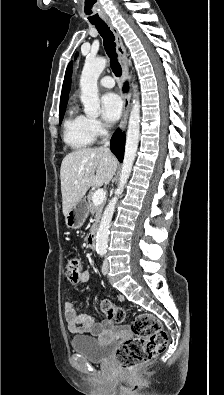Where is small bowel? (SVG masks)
<instances>
[{
	"mask_svg": "<svg viewBox=\"0 0 224 395\" xmlns=\"http://www.w3.org/2000/svg\"><path fill=\"white\" fill-rule=\"evenodd\" d=\"M88 280L89 273L85 271L81 274L78 282L86 283ZM118 299L124 300V297L122 295H118ZM64 317L69 331L74 334L99 336L105 331L114 330L113 324L110 320H104L96 323L94 318L80 313L71 302H66L64 304Z\"/></svg>",
	"mask_w": 224,
	"mask_h": 395,
	"instance_id": "1",
	"label": "small bowel"
}]
</instances>
